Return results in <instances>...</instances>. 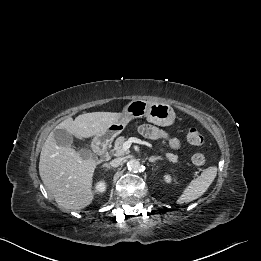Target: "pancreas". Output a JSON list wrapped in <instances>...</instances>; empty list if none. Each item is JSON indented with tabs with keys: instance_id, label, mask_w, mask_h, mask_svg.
<instances>
[{
	"instance_id": "pancreas-1",
	"label": "pancreas",
	"mask_w": 261,
	"mask_h": 261,
	"mask_svg": "<svg viewBox=\"0 0 261 261\" xmlns=\"http://www.w3.org/2000/svg\"><path fill=\"white\" fill-rule=\"evenodd\" d=\"M126 141V138L123 137V136H120L118 137L116 140H115V143H114V147L112 149V154L115 155V156H121L123 155L124 153L122 152V145L123 143ZM166 158L173 162V163H177L178 162V156L177 155H174L172 153H166Z\"/></svg>"
}]
</instances>
